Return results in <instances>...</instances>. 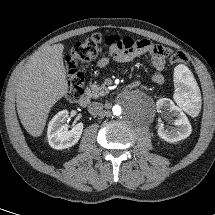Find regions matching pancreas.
<instances>
[{"label": "pancreas", "instance_id": "1", "mask_svg": "<svg viewBox=\"0 0 215 215\" xmlns=\"http://www.w3.org/2000/svg\"><path fill=\"white\" fill-rule=\"evenodd\" d=\"M86 92L89 96L93 98H98L101 96H105L109 93L107 88H104L102 86H99L97 84L90 83L89 88L86 89Z\"/></svg>", "mask_w": 215, "mask_h": 215}]
</instances>
